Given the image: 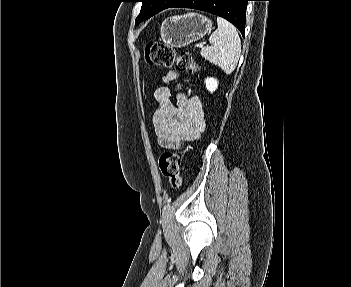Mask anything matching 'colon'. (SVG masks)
Listing matches in <instances>:
<instances>
[{
	"instance_id": "obj_1",
	"label": "colon",
	"mask_w": 351,
	"mask_h": 287,
	"mask_svg": "<svg viewBox=\"0 0 351 287\" xmlns=\"http://www.w3.org/2000/svg\"><path fill=\"white\" fill-rule=\"evenodd\" d=\"M145 58L150 65L175 66L190 77L197 71V66L189 53H178L174 48L163 43H148L145 47ZM180 165V155L175 151H166L159 158L160 170L174 189H178L181 185Z\"/></svg>"
}]
</instances>
